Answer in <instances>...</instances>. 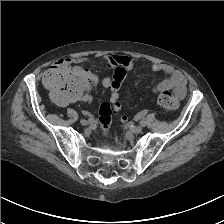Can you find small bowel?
<instances>
[{"label":"small bowel","mask_w":224,"mask_h":224,"mask_svg":"<svg viewBox=\"0 0 224 224\" xmlns=\"http://www.w3.org/2000/svg\"><path fill=\"white\" fill-rule=\"evenodd\" d=\"M84 61H86V58L77 57L74 59H63L60 60L59 62L69 64L71 62L82 63ZM105 61L107 63V66L110 68L121 67L126 71H131L134 68V66L138 63L137 59H134L126 55H109L105 57ZM149 68L154 72H161L168 76L166 79L159 82L154 87L153 89L154 92H163L172 90L179 99H182L186 95L187 80L180 71L175 70L171 66L162 63H151L149 64ZM49 70L50 69H48V71Z\"/></svg>","instance_id":"small-bowel-1"}]
</instances>
